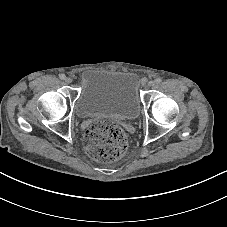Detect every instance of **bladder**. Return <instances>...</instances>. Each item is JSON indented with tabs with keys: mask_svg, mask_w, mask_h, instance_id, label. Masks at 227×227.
I'll return each mask as SVG.
<instances>
[{
	"mask_svg": "<svg viewBox=\"0 0 227 227\" xmlns=\"http://www.w3.org/2000/svg\"><path fill=\"white\" fill-rule=\"evenodd\" d=\"M139 81L132 72L98 70L86 77L74 100V112L81 120L110 117L134 122L141 113Z\"/></svg>",
	"mask_w": 227,
	"mask_h": 227,
	"instance_id": "31cf9c89",
	"label": "bladder"
}]
</instances>
